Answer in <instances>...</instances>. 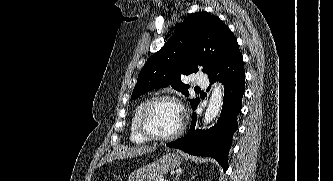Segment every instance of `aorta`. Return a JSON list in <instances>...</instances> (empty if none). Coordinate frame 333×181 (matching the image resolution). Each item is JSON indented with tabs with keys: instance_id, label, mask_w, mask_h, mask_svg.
<instances>
[{
	"instance_id": "aorta-1",
	"label": "aorta",
	"mask_w": 333,
	"mask_h": 181,
	"mask_svg": "<svg viewBox=\"0 0 333 181\" xmlns=\"http://www.w3.org/2000/svg\"><path fill=\"white\" fill-rule=\"evenodd\" d=\"M223 96L224 92L222 85L218 83L214 84L209 104L204 114V124H209L219 115L223 105Z\"/></svg>"
}]
</instances>
